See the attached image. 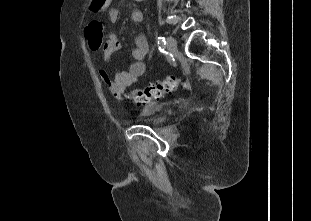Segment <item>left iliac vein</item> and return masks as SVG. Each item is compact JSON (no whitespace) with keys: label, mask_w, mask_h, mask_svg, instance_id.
Masks as SVG:
<instances>
[{"label":"left iliac vein","mask_w":311,"mask_h":221,"mask_svg":"<svg viewBox=\"0 0 311 221\" xmlns=\"http://www.w3.org/2000/svg\"><path fill=\"white\" fill-rule=\"evenodd\" d=\"M167 48L172 53H175L177 51V42L173 36L167 37Z\"/></svg>","instance_id":"1"}]
</instances>
